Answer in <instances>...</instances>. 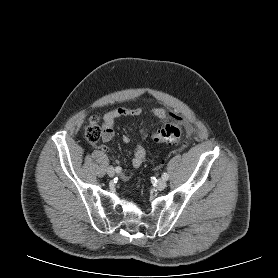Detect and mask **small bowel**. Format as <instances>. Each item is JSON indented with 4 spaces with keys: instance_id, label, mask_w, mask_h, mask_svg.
<instances>
[{
    "instance_id": "c3829d8e",
    "label": "small bowel",
    "mask_w": 278,
    "mask_h": 278,
    "mask_svg": "<svg viewBox=\"0 0 278 278\" xmlns=\"http://www.w3.org/2000/svg\"><path fill=\"white\" fill-rule=\"evenodd\" d=\"M152 114L156 118L163 120L167 117V113L164 109L162 108H154L152 109ZM142 113V109L139 107L135 108H115L113 110H110L106 112L103 116L102 119V127H103V132H102V144L100 148L104 151L109 153L110 150L107 146L108 143H110L113 138H114V123L115 121L120 118V117H126V116H139ZM122 141L126 144L130 143L131 139L128 135H124L122 137ZM146 157V151L144 147L141 144H137L134 151H133V157L131 160L132 166L135 168H138L142 165ZM128 175L123 174V179H127Z\"/></svg>"
}]
</instances>
